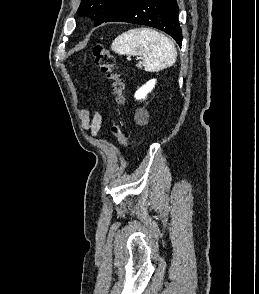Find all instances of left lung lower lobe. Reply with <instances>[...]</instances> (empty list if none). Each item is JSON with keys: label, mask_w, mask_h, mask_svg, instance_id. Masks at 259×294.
I'll return each mask as SVG.
<instances>
[{"label": "left lung lower lobe", "mask_w": 259, "mask_h": 294, "mask_svg": "<svg viewBox=\"0 0 259 294\" xmlns=\"http://www.w3.org/2000/svg\"><path fill=\"white\" fill-rule=\"evenodd\" d=\"M112 21L154 27L172 36L179 46L182 44L176 0H124L104 20Z\"/></svg>", "instance_id": "1"}]
</instances>
